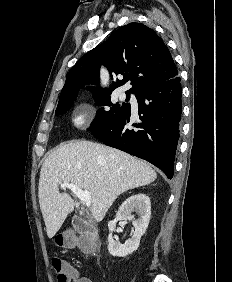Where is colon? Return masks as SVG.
<instances>
[{
  "mask_svg": "<svg viewBox=\"0 0 232 282\" xmlns=\"http://www.w3.org/2000/svg\"><path fill=\"white\" fill-rule=\"evenodd\" d=\"M59 246L69 249H79L82 252L90 251V241L85 237H76L71 234L60 235L56 238ZM52 268L55 271L58 282H73V267L64 259L54 256L51 259Z\"/></svg>",
  "mask_w": 232,
  "mask_h": 282,
  "instance_id": "colon-1",
  "label": "colon"
}]
</instances>
